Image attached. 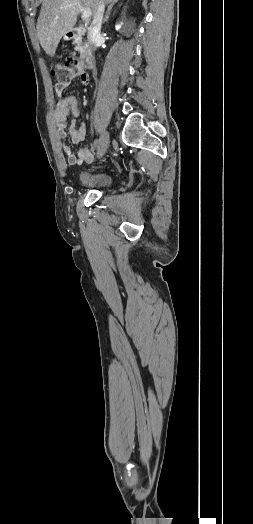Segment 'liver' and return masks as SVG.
<instances>
[{"instance_id": "liver-1", "label": "liver", "mask_w": 253, "mask_h": 524, "mask_svg": "<svg viewBox=\"0 0 253 524\" xmlns=\"http://www.w3.org/2000/svg\"><path fill=\"white\" fill-rule=\"evenodd\" d=\"M112 3L115 0H43L37 20V36L44 51L54 56L62 36L71 31L80 12L76 7L64 8L65 5L78 2L96 14L99 3Z\"/></svg>"}]
</instances>
